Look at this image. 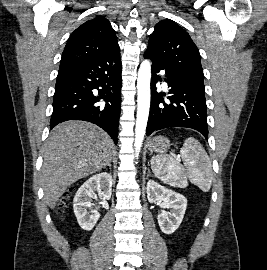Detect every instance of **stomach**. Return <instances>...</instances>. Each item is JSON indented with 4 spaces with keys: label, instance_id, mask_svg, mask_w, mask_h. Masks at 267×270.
Returning <instances> with one entry per match:
<instances>
[{
    "label": "stomach",
    "instance_id": "stomach-1",
    "mask_svg": "<svg viewBox=\"0 0 267 270\" xmlns=\"http://www.w3.org/2000/svg\"><path fill=\"white\" fill-rule=\"evenodd\" d=\"M147 147L149 151L163 154L170 147V140L164 136H157L148 141Z\"/></svg>",
    "mask_w": 267,
    "mask_h": 270
}]
</instances>
